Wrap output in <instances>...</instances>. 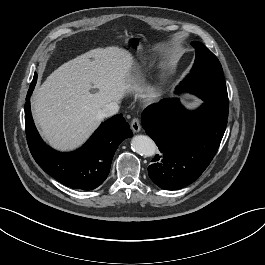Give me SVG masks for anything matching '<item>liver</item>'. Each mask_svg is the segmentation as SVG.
<instances>
[{"label":"liver","instance_id":"6515ba94","mask_svg":"<svg viewBox=\"0 0 265 265\" xmlns=\"http://www.w3.org/2000/svg\"><path fill=\"white\" fill-rule=\"evenodd\" d=\"M132 65L127 50L112 46L92 49L52 72L32 97L43 138L61 151L82 145L99 126L102 108L141 91L130 78Z\"/></svg>","mask_w":265,"mask_h":265}]
</instances>
